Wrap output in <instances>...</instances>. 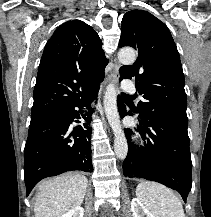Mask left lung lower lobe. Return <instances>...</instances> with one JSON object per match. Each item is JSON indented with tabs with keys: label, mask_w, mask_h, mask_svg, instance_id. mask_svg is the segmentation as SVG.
Masks as SVG:
<instances>
[{
	"label": "left lung lower lobe",
	"mask_w": 211,
	"mask_h": 217,
	"mask_svg": "<svg viewBox=\"0 0 211 217\" xmlns=\"http://www.w3.org/2000/svg\"><path fill=\"white\" fill-rule=\"evenodd\" d=\"M117 104L121 118L133 114V111L126 109L119 97ZM138 128L142 138H146L147 145L136 148L129 140L131 130H125L128 154L123 163L124 176L164 184L177 190L186 202L192 186V162L187 130L165 121L140 118Z\"/></svg>",
	"instance_id": "0a47b994"
}]
</instances>
